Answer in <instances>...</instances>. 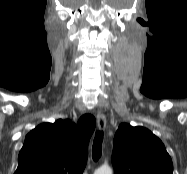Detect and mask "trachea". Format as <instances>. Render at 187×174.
<instances>
[{"label": "trachea", "instance_id": "obj_1", "mask_svg": "<svg viewBox=\"0 0 187 174\" xmlns=\"http://www.w3.org/2000/svg\"><path fill=\"white\" fill-rule=\"evenodd\" d=\"M102 141H103V131H96L95 138L93 142V159L97 161L102 154Z\"/></svg>", "mask_w": 187, "mask_h": 174}]
</instances>
